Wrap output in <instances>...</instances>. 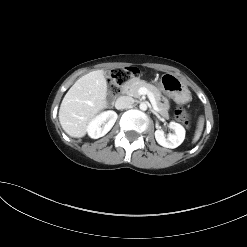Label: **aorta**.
<instances>
[{"label":"aorta","instance_id":"1","mask_svg":"<svg viewBox=\"0 0 247 247\" xmlns=\"http://www.w3.org/2000/svg\"><path fill=\"white\" fill-rule=\"evenodd\" d=\"M139 108L142 111H146L148 106H147V104L145 102H142V103H140Z\"/></svg>","mask_w":247,"mask_h":247}]
</instances>
